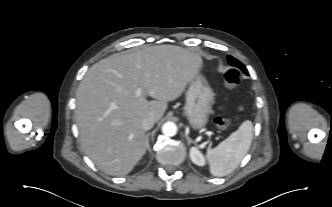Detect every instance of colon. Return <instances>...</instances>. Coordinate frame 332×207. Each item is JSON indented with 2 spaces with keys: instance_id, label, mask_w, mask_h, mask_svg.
Wrapping results in <instances>:
<instances>
[{
  "instance_id": "colon-1",
  "label": "colon",
  "mask_w": 332,
  "mask_h": 207,
  "mask_svg": "<svg viewBox=\"0 0 332 207\" xmlns=\"http://www.w3.org/2000/svg\"><path fill=\"white\" fill-rule=\"evenodd\" d=\"M224 85L228 89L235 88L239 82H240V75L238 70L236 69H230L224 74L223 78ZM239 118V115H234L232 118H223V117H217L214 119V122L220 130H226L229 128V126Z\"/></svg>"
}]
</instances>
